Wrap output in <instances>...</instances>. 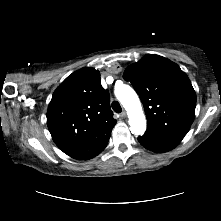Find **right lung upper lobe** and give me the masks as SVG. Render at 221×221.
I'll return each mask as SVG.
<instances>
[{
  "label": "right lung upper lobe",
  "mask_w": 221,
  "mask_h": 221,
  "mask_svg": "<svg viewBox=\"0 0 221 221\" xmlns=\"http://www.w3.org/2000/svg\"><path fill=\"white\" fill-rule=\"evenodd\" d=\"M100 73L82 68L67 77L53 93L47 125L55 144L68 156L93 158L109 140L116 120Z\"/></svg>",
  "instance_id": "right-lung-upper-lobe-1"
}]
</instances>
